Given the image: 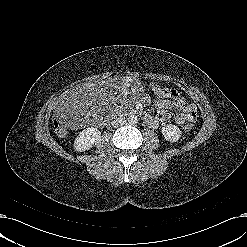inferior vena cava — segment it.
Wrapping results in <instances>:
<instances>
[{
    "instance_id": "inferior-vena-cava-1",
    "label": "inferior vena cava",
    "mask_w": 247,
    "mask_h": 247,
    "mask_svg": "<svg viewBox=\"0 0 247 247\" xmlns=\"http://www.w3.org/2000/svg\"><path fill=\"white\" fill-rule=\"evenodd\" d=\"M125 123H126L125 117L118 116V117H116V118L112 121V126L118 127V126L124 125Z\"/></svg>"
}]
</instances>
